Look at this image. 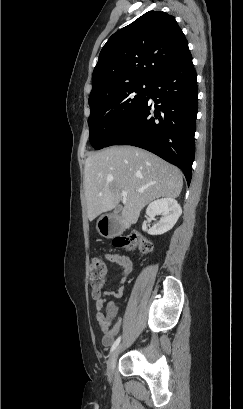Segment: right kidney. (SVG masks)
Listing matches in <instances>:
<instances>
[{
	"mask_svg": "<svg viewBox=\"0 0 243 409\" xmlns=\"http://www.w3.org/2000/svg\"><path fill=\"white\" fill-rule=\"evenodd\" d=\"M182 213L178 202L173 198H162L149 204L146 209L148 217L153 218L156 214H161L162 218L150 229L147 228V221L142 224V230L150 235H161L173 228Z\"/></svg>",
	"mask_w": 243,
	"mask_h": 409,
	"instance_id": "obj_1",
	"label": "right kidney"
}]
</instances>
